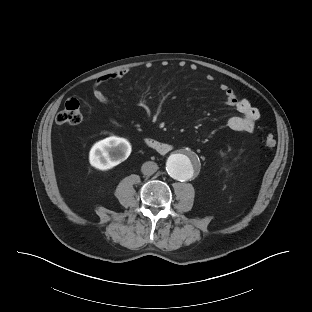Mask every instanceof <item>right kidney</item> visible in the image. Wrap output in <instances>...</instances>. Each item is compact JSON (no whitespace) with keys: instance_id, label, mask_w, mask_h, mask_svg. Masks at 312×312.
Instances as JSON below:
<instances>
[{"instance_id":"1","label":"right kidney","mask_w":312,"mask_h":312,"mask_svg":"<svg viewBox=\"0 0 312 312\" xmlns=\"http://www.w3.org/2000/svg\"><path fill=\"white\" fill-rule=\"evenodd\" d=\"M130 153L131 145L126 139L111 136L92 146L89 152V162L98 170H107L116 162L126 160Z\"/></svg>"}]
</instances>
